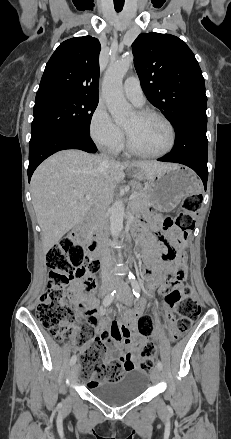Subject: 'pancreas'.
<instances>
[{
  "instance_id": "pancreas-1",
  "label": "pancreas",
  "mask_w": 231,
  "mask_h": 439,
  "mask_svg": "<svg viewBox=\"0 0 231 439\" xmlns=\"http://www.w3.org/2000/svg\"><path fill=\"white\" fill-rule=\"evenodd\" d=\"M136 197L132 199L131 209L133 212H137L144 206L150 205V197L147 191L139 189L134 193Z\"/></svg>"
}]
</instances>
